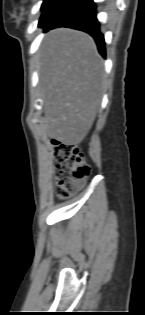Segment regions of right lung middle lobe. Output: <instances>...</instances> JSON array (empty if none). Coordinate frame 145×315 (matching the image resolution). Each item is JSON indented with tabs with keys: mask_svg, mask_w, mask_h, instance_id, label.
<instances>
[{
	"mask_svg": "<svg viewBox=\"0 0 145 315\" xmlns=\"http://www.w3.org/2000/svg\"><path fill=\"white\" fill-rule=\"evenodd\" d=\"M66 1L67 0H44L41 6L42 15L39 20V26L43 27Z\"/></svg>",
	"mask_w": 145,
	"mask_h": 315,
	"instance_id": "right-lung-middle-lobe-1",
	"label": "right lung middle lobe"
}]
</instances>
